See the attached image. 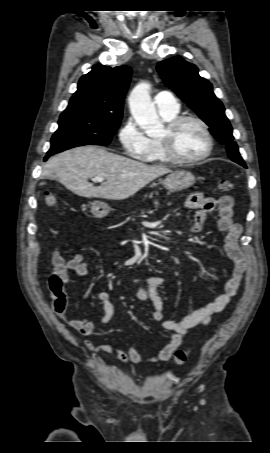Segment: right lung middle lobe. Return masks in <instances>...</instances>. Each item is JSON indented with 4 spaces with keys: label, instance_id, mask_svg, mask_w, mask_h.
<instances>
[{
    "label": "right lung middle lobe",
    "instance_id": "dd1d6c3e",
    "mask_svg": "<svg viewBox=\"0 0 270 453\" xmlns=\"http://www.w3.org/2000/svg\"><path fill=\"white\" fill-rule=\"evenodd\" d=\"M120 122L121 119L95 113L62 116L47 155L86 144L108 145Z\"/></svg>",
    "mask_w": 270,
    "mask_h": 453
}]
</instances>
